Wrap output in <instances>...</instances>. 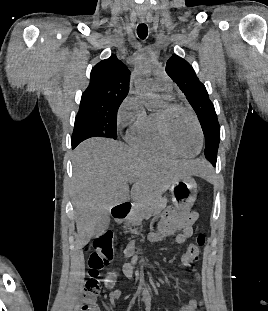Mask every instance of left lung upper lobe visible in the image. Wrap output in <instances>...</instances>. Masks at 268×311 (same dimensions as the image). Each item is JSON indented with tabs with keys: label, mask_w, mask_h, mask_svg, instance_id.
<instances>
[{
	"label": "left lung upper lobe",
	"mask_w": 268,
	"mask_h": 311,
	"mask_svg": "<svg viewBox=\"0 0 268 311\" xmlns=\"http://www.w3.org/2000/svg\"><path fill=\"white\" fill-rule=\"evenodd\" d=\"M166 73L176 82L196 112L206 139L204 154L212 164L216 163L220 127L205 86L197 78L192 66L175 54L166 63Z\"/></svg>",
	"instance_id": "left-lung-upper-lobe-1"
}]
</instances>
